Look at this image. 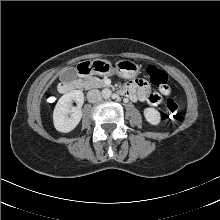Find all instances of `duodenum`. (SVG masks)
<instances>
[{
  "instance_id": "410a0bca",
  "label": "duodenum",
  "mask_w": 220,
  "mask_h": 220,
  "mask_svg": "<svg viewBox=\"0 0 220 220\" xmlns=\"http://www.w3.org/2000/svg\"><path fill=\"white\" fill-rule=\"evenodd\" d=\"M91 71L90 65L88 64H82L78 67V73L80 75H86L89 74ZM75 84L71 81H64L60 84L59 89L62 93H67L72 90H74ZM120 94L126 96L125 91L120 90Z\"/></svg>"
}]
</instances>
